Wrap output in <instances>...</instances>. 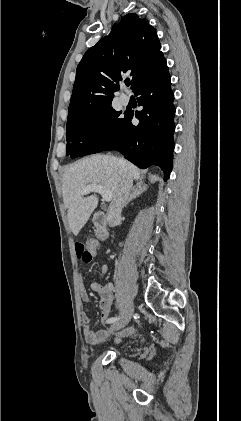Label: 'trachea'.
Masks as SVG:
<instances>
[{"instance_id": "obj_1", "label": "trachea", "mask_w": 241, "mask_h": 421, "mask_svg": "<svg viewBox=\"0 0 241 421\" xmlns=\"http://www.w3.org/2000/svg\"><path fill=\"white\" fill-rule=\"evenodd\" d=\"M125 84H126V86H129L130 85V81H126Z\"/></svg>"}]
</instances>
